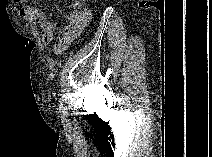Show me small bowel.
<instances>
[{"label": "small bowel", "instance_id": "c3829d8e", "mask_svg": "<svg viewBox=\"0 0 212 157\" xmlns=\"http://www.w3.org/2000/svg\"><path fill=\"white\" fill-rule=\"evenodd\" d=\"M18 1L20 5L18 14L21 19L30 24L39 25L42 44L50 45L54 39L56 23L47 18L43 10L28 5L25 0ZM91 17V12L87 9L79 13H70L67 16L68 25L59 33L55 44V52L57 54H61L65 50L68 42L82 31L91 20ZM47 63L50 72L53 74L56 69L54 61L48 58Z\"/></svg>", "mask_w": 212, "mask_h": 157}]
</instances>
